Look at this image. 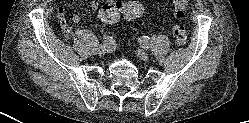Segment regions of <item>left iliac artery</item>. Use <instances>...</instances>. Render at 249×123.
I'll list each match as a JSON object with an SVG mask.
<instances>
[{
    "label": "left iliac artery",
    "mask_w": 249,
    "mask_h": 123,
    "mask_svg": "<svg viewBox=\"0 0 249 123\" xmlns=\"http://www.w3.org/2000/svg\"><path fill=\"white\" fill-rule=\"evenodd\" d=\"M139 41L143 48L148 49L150 47V38L148 36L141 37Z\"/></svg>",
    "instance_id": "1"
}]
</instances>
